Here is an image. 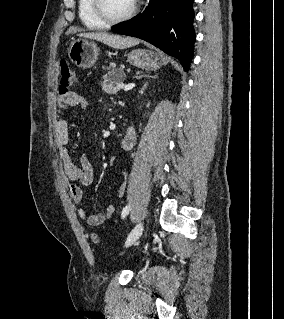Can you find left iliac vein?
<instances>
[{"mask_svg": "<svg viewBox=\"0 0 284 319\" xmlns=\"http://www.w3.org/2000/svg\"><path fill=\"white\" fill-rule=\"evenodd\" d=\"M143 228H144V224L143 222H140L132 229V231L129 233L126 239V242H125L126 247L131 246L137 242V240L142 235Z\"/></svg>", "mask_w": 284, "mask_h": 319, "instance_id": "left-iliac-vein-1", "label": "left iliac vein"}]
</instances>
